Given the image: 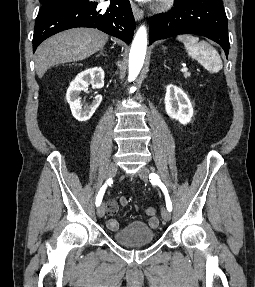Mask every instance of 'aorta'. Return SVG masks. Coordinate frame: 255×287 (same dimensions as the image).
<instances>
[{
	"label": "aorta",
	"mask_w": 255,
	"mask_h": 287,
	"mask_svg": "<svg viewBox=\"0 0 255 287\" xmlns=\"http://www.w3.org/2000/svg\"><path fill=\"white\" fill-rule=\"evenodd\" d=\"M146 49L147 32L145 26H141L133 39L129 54V81H133L139 74L145 59Z\"/></svg>",
	"instance_id": "aorta-1"
}]
</instances>
